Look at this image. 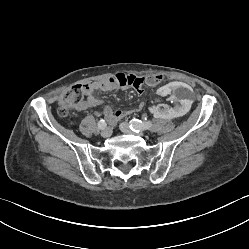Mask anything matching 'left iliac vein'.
Listing matches in <instances>:
<instances>
[{"mask_svg": "<svg viewBox=\"0 0 249 249\" xmlns=\"http://www.w3.org/2000/svg\"><path fill=\"white\" fill-rule=\"evenodd\" d=\"M120 130L124 133H132L129 124L126 122H122L120 124ZM143 134H144L143 132L138 133V135L140 136H143Z\"/></svg>", "mask_w": 249, "mask_h": 249, "instance_id": "1", "label": "left iliac vein"}]
</instances>
